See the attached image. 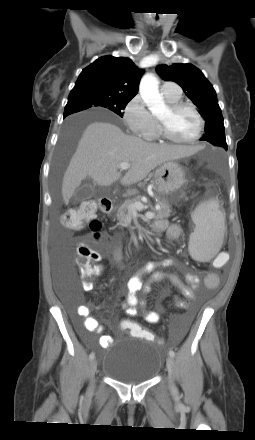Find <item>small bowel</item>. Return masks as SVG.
Masks as SVG:
<instances>
[{
  "label": "small bowel",
  "mask_w": 255,
  "mask_h": 440,
  "mask_svg": "<svg viewBox=\"0 0 255 440\" xmlns=\"http://www.w3.org/2000/svg\"><path fill=\"white\" fill-rule=\"evenodd\" d=\"M155 228L158 230H167V238L170 241H175L182 236V227L179 224L168 225L166 220H159L155 223ZM224 256L219 254L217 259H223ZM112 260L121 265L122 263V251L119 247L115 248L112 253ZM177 262L172 259L164 261H155L147 263L135 276L131 277L127 283L128 292L123 302L125 312L134 316L145 307V302L138 297L139 292H148L150 290V284L159 283L163 281H169L173 286L178 288L185 298H189L191 301L196 299L195 290L198 288L200 279L194 273H187L185 275V281L183 282L177 275L160 270L161 267L176 266ZM149 275L148 282L143 281L144 275ZM211 274V273H210ZM208 274L206 278L210 275ZM206 287L209 289L216 288L219 284L218 277L212 276L211 279L206 282ZM85 290L92 289L91 284H84ZM144 319L148 323H157L160 320V313L157 311H142ZM76 316L83 318L81 324L76 322V327L82 334L84 340L87 343H91V339L86 336L85 332L101 333L103 326L99 322V319L92 315V309L89 306L81 305L76 310ZM113 338L109 335H101L99 344L102 348H108L112 345Z\"/></svg>",
  "instance_id": "1"
}]
</instances>
